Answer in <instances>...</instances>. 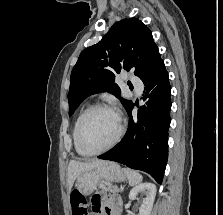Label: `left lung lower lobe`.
<instances>
[{
  "label": "left lung lower lobe",
  "instance_id": "obj_1",
  "mask_svg": "<svg viewBox=\"0 0 223 215\" xmlns=\"http://www.w3.org/2000/svg\"><path fill=\"white\" fill-rule=\"evenodd\" d=\"M141 80L145 84L146 106L138 109L135 120L131 116L134 104L126 109L129 125L124 138L98 158L145 171L161 184L168 159V128L171 121V87L163 60Z\"/></svg>",
  "mask_w": 223,
  "mask_h": 215
}]
</instances>
